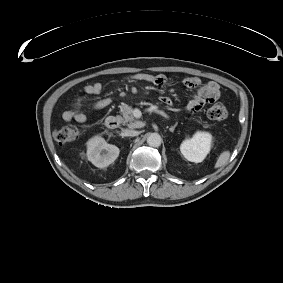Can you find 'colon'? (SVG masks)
<instances>
[{
  "mask_svg": "<svg viewBox=\"0 0 283 283\" xmlns=\"http://www.w3.org/2000/svg\"><path fill=\"white\" fill-rule=\"evenodd\" d=\"M228 116L227 108L220 103L212 105L208 110V117L214 121H222ZM81 131L76 126H63L55 130L54 138L60 144L70 143L77 140Z\"/></svg>",
  "mask_w": 283,
  "mask_h": 283,
  "instance_id": "5ec220e1",
  "label": "colon"
}]
</instances>
